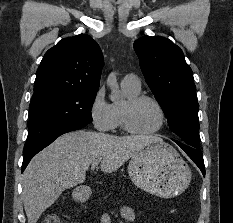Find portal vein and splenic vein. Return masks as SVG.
<instances>
[{
    "instance_id": "obj_1",
    "label": "portal vein and splenic vein",
    "mask_w": 233,
    "mask_h": 223,
    "mask_svg": "<svg viewBox=\"0 0 233 223\" xmlns=\"http://www.w3.org/2000/svg\"><path fill=\"white\" fill-rule=\"evenodd\" d=\"M98 165H99V161H93L91 165V169H95V167H98Z\"/></svg>"
}]
</instances>
